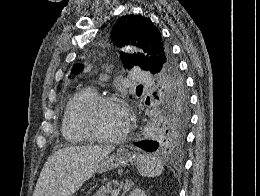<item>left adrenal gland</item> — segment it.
I'll use <instances>...</instances> for the list:
<instances>
[{"mask_svg":"<svg viewBox=\"0 0 260 196\" xmlns=\"http://www.w3.org/2000/svg\"><path fill=\"white\" fill-rule=\"evenodd\" d=\"M132 186H134V182H130V180H126L125 186L123 188L122 196H126L127 192H129V190H131Z\"/></svg>","mask_w":260,"mask_h":196,"instance_id":"obj_1","label":"left adrenal gland"}]
</instances>
